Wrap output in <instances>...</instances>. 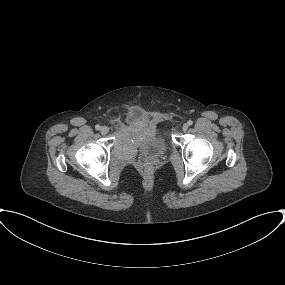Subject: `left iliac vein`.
I'll use <instances>...</instances> for the list:
<instances>
[{"label":"left iliac vein","mask_w":285,"mask_h":285,"mask_svg":"<svg viewBox=\"0 0 285 285\" xmlns=\"http://www.w3.org/2000/svg\"><path fill=\"white\" fill-rule=\"evenodd\" d=\"M182 130L183 131H187L188 130V124H183V126H182Z\"/></svg>","instance_id":"left-iliac-vein-1"}]
</instances>
